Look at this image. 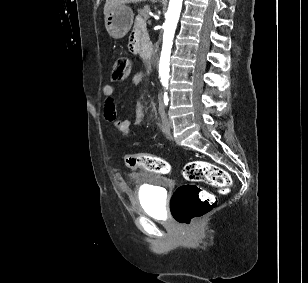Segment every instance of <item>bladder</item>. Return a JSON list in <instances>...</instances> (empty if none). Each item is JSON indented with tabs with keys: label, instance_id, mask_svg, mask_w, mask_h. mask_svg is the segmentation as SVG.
I'll list each match as a JSON object with an SVG mask.
<instances>
[{
	"label": "bladder",
	"instance_id": "bladder-1",
	"mask_svg": "<svg viewBox=\"0 0 308 283\" xmlns=\"http://www.w3.org/2000/svg\"><path fill=\"white\" fill-rule=\"evenodd\" d=\"M138 203L145 215L160 219L165 214V196L159 186L141 185L138 190Z\"/></svg>",
	"mask_w": 308,
	"mask_h": 283
}]
</instances>
